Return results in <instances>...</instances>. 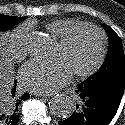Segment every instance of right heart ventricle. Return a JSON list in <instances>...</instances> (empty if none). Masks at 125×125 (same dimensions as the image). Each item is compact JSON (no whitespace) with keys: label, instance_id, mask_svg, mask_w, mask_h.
<instances>
[{"label":"right heart ventricle","instance_id":"e07e8e85","mask_svg":"<svg viewBox=\"0 0 125 125\" xmlns=\"http://www.w3.org/2000/svg\"><path fill=\"white\" fill-rule=\"evenodd\" d=\"M81 23L83 22L74 18H59L46 23L45 29L51 36L59 40L68 30Z\"/></svg>","mask_w":125,"mask_h":125}]
</instances>
